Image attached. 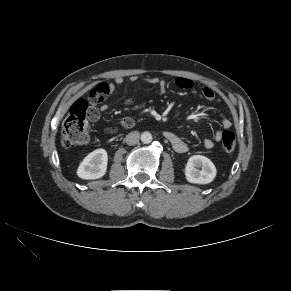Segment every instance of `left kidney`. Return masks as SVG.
I'll return each mask as SVG.
<instances>
[{
    "label": "left kidney",
    "instance_id": "left-kidney-1",
    "mask_svg": "<svg viewBox=\"0 0 291 291\" xmlns=\"http://www.w3.org/2000/svg\"><path fill=\"white\" fill-rule=\"evenodd\" d=\"M201 168V170H199ZM216 167L213 162L202 155H193L188 159L185 167L187 181L194 184L211 183L216 176Z\"/></svg>",
    "mask_w": 291,
    "mask_h": 291
}]
</instances>
